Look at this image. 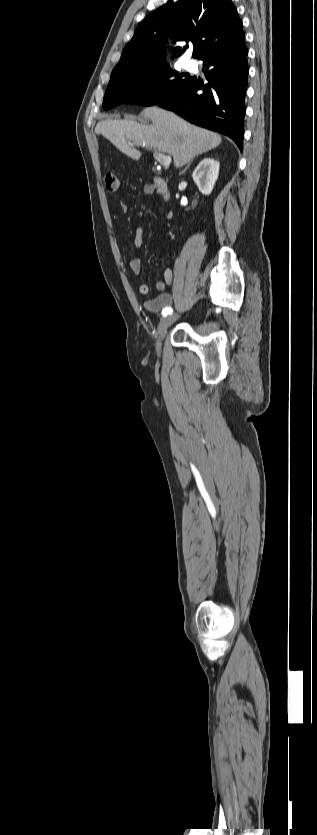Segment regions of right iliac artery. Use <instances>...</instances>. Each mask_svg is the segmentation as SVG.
<instances>
[{"label": "right iliac artery", "mask_w": 317, "mask_h": 835, "mask_svg": "<svg viewBox=\"0 0 317 835\" xmlns=\"http://www.w3.org/2000/svg\"><path fill=\"white\" fill-rule=\"evenodd\" d=\"M172 312H173V309L171 307H167V308L163 309L162 314L164 316H166L168 314H172Z\"/></svg>", "instance_id": "82829eb1"}]
</instances>
